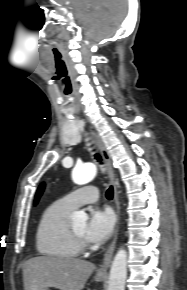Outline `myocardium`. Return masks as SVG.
I'll return each mask as SVG.
<instances>
[{"instance_id":"myocardium-1","label":"myocardium","mask_w":187,"mask_h":290,"mask_svg":"<svg viewBox=\"0 0 187 290\" xmlns=\"http://www.w3.org/2000/svg\"><path fill=\"white\" fill-rule=\"evenodd\" d=\"M69 234L70 237L73 241V243L75 244V246L77 247L78 251H85L89 248L88 242L85 238L79 236L73 229L72 227L69 225Z\"/></svg>"}]
</instances>
